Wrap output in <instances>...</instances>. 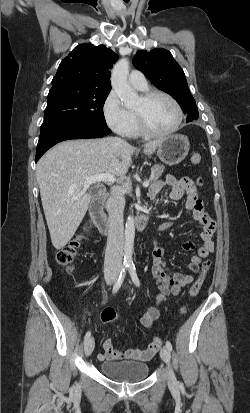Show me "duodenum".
Returning a JSON list of instances; mask_svg holds the SVG:
<instances>
[{
    "mask_svg": "<svg viewBox=\"0 0 250 413\" xmlns=\"http://www.w3.org/2000/svg\"><path fill=\"white\" fill-rule=\"evenodd\" d=\"M107 195L100 196L96 198L90 207V214L91 217L102 234H108L110 230L109 220L104 212V201ZM149 221L148 214H141L137 216L134 220L136 228L138 230H143Z\"/></svg>",
    "mask_w": 250,
    "mask_h": 413,
    "instance_id": "duodenum-1",
    "label": "duodenum"
}]
</instances>
